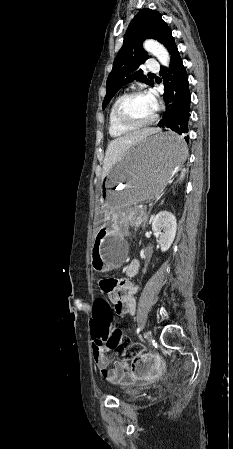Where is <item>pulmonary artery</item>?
<instances>
[{
	"label": "pulmonary artery",
	"instance_id": "obj_1",
	"mask_svg": "<svg viewBox=\"0 0 233 449\" xmlns=\"http://www.w3.org/2000/svg\"><path fill=\"white\" fill-rule=\"evenodd\" d=\"M147 68H148L150 71H154V72H156V71L159 70V66H158V64H157L155 61H150V62L148 63V65H147Z\"/></svg>",
	"mask_w": 233,
	"mask_h": 449
}]
</instances>
